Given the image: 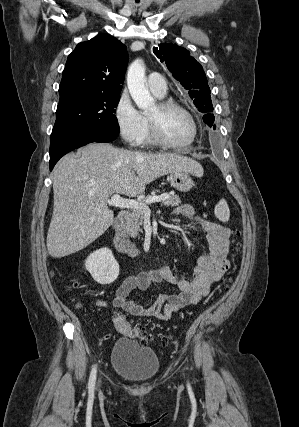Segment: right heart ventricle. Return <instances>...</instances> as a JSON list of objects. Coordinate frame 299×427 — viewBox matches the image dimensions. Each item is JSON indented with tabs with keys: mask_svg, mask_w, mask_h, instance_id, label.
<instances>
[{
	"mask_svg": "<svg viewBox=\"0 0 299 427\" xmlns=\"http://www.w3.org/2000/svg\"><path fill=\"white\" fill-rule=\"evenodd\" d=\"M158 98H163V97H158ZM145 121H146V129H145V133H144V137H143L142 143L146 144V145H152L153 144V139L151 137V133H150V129H149V124H148V120H147L146 117H145Z\"/></svg>",
	"mask_w": 299,
	"mask_h": 427,
	"instance_id": "obj_1",
	"label": "right heart ventricle"
}]
</instances>
